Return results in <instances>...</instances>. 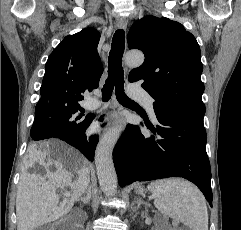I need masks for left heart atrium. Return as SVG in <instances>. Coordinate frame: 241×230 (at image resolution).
Here are the masks:
<instances>
[{
    "instance_id": "left-heart-atrium-1",
    "label": "left heart atrium",
    "mask_w": 241,
    "mask_h": 230,
    "mask_svg": "<svg viewBox=\"0 0 241 230\" xmlns=\"http://www.w3.org/2000/svg\"><path fill=\"white\" fill-rule=\"evenodd\" d=\"M99 128H100V126H99L98 124H97V125H94V127H93V131L96 132V131L99 130Z\"/></svg>"
}]
</instances>
